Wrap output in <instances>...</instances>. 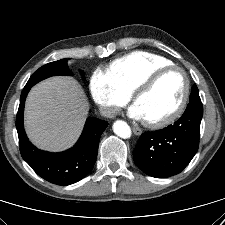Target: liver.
<instances>
[{
	"instance_id": "obj_1",
	"label": "liver",
	"mask_w": 225,
	"mask_h": 225,
	"mask_svg": "<svg viewBox=\"0 0 225 225\" xmlns=\"http://www.w3.org/2000/svg\"><path fill=\"white\" fill-rule=\"evenodd\" d=\"M88 111L87 97L73 78L55 76L36 84L25 104L24 125L38 148L61 151L78 139Z\"/></svg>"
}]
</instances>
